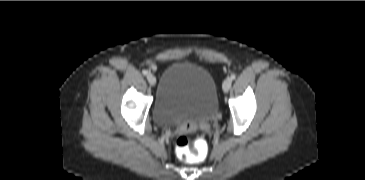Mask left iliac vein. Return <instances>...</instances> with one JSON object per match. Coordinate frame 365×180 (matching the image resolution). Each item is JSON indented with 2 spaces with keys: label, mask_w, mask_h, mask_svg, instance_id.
Returning a JSON list of instances; mask_svg holds the SVG:
<instances>
[{
  "label": "left iliac vein",
  "mask_w": 365,
  "mask_h": 180,
  "mask_svg": "<svg viewBox=\"0 0 365 180\" xmlns=\"http://www.w3.org/2000/svg\"><path fill=\"white\" fill-rule=\"evenodd\" d=\"M231 84H232V79L231 78H226L224 80L222 88H223V91L225 93H227L230 90Z\"/></svg>",
  "instance_id": "4c4485c4"
}]
</instances>
